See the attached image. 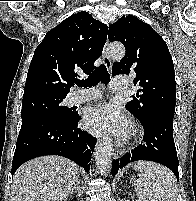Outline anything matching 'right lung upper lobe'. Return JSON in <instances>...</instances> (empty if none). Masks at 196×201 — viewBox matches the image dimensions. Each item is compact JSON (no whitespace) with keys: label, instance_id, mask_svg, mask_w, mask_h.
Here are the masks:
<instances>
[{"label":"right lung upper lobe","instance_id":"right-lung-upper-lobe-1","mask_svg":"<svg viewBox=\"0 0 196 201\" xmlns=\"http://www.w3.org/2000/svg\"><path fill=\"white\" fill-rule=\"evenodd\" d=\"M108 27L83 11L51 29L36 48L23 98L45 94L66 96L78 71L90 74L101 56Z\"/></svg>","mask_w":196,"mask_h":201}]
</instances>
